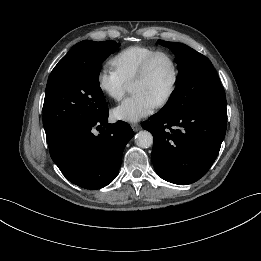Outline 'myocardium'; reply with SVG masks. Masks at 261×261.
Returning a JSON list of instances; mask_svg holds the SVG:
<instances>
[{
  "label": "myocardium",
  "mask_w": 261,
  "mask_h": 261,
  "mask_svg": "<svg viewBox=\"0 0 261 261\" xmlns=\"http://www.w3.org/2000/svg\"><path fill=\"white\" fill-rule=\"evenodd\" d=\"M159 57H166L172 67V81H171L170 88H169L168 92L165 94V96L157 103L158 107H163V106L167 105L173 98V96L177 90V86H178V82H179L178 64L176 62L175 57L171 53H169L168 51H164V50H158V51L154 52L153 54H151L143 62V64L141 65L139 71L137 72V74L135 75V77L133 78L131 83L145 79L148 76L154 61Z\"/></svg>",
  "instance_id": "1"
}]
</instances>
